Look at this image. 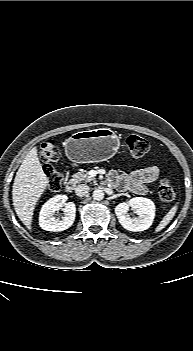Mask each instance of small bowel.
I'll list each match as a JSON object with an SVG mask.
<instances>
[{"label":"small bowel","mask_w":193,"mask_h":351,"mask_svg":"<svg viewBox=\"0 0 193 351\" xmlns=\"http://www.w3.org/2000/svg\"><path fill=\"white\" fill-rule=\"evenodd\" d=\"M158 176L159 168L155 164H151L132 173L114 172L111 175V182L118 188L144 194L147 192V186L154 182Z\"/></svg>","instance_id":"c3829d8e"}]
</instances>
